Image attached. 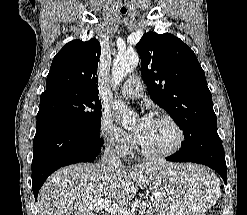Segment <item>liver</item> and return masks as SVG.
Wrapping results in <instances>:
<instances>
[{
  "label": "liver",
  "instance_id": "liver-1",
  "mask_svg": "<svg viewBox=\"0 0 247 215\" xmlns=\"http://www.w3.org/2000/svg\"><path fill=\"white\" fill-rule=\"evenodd\" d=\"M175 165L146 162L130 169L121 166L109 170L101 163L66 166L42 186L38 207L41 215H96L94 206L98 201L106 199L125 206L138 187L151 183L160 170Z\"/></svg>",
  "mask_w": 247,
  "mask_h": 215
}]
</instances>
